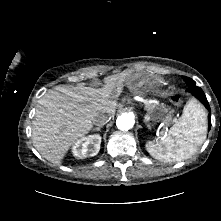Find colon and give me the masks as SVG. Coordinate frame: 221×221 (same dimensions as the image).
I'll use <instances>...</instances> for the list:
<instances>
[{
  "instance_id": "obj_1",
  "label": "colon",
  "mask_w": 221,
  "mask_h": 221,
  "mask_svg": "<svg viewBox=\"0 0 221 221\" xmlns=\"http://www.w3.org/2000/svg\"><path fill=\"white\" fill-rule=\"evenodd\" d=\"M172 101H173L175 104H179V102H180L179 96H178V95L173 96V97H172Z\"/></svg>"
}]
</instances>
